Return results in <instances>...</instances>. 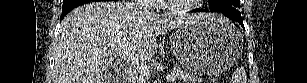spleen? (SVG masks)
<instances>
[{
	"instance_id": "1",
	"label": "spleen",
	"mask_w": 307,
	"mask_h": 83,
	"mask_svg": "<svg viewBox=\"0 0 307 83\" xmlns=\"http://www.w3.org/2000/svg\"><path fill=\"white\" fill-rule=\"evenodd\" d=\"M230 83H247L244 68L239 67L233 72Z\"/></svg>"
}]
</instances>
